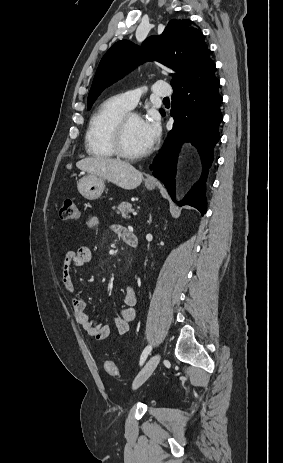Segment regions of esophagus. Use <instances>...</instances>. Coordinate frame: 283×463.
Segmentation results:
<instances>
[{
    "instance_id": "obj_1",
    "label": "esophagus",
    "mask_w": 283,
    "mask_h": 463,
    "mask_svg": "<svg viewBox=\"0 0 283 463\" xmlns=\"http://www.w3.org/2000/svg\"><path fill=\"white\" fill-rule=\"evenodd\" d=\"M147 180H149V181H152V178H151V177H149V178H147Z\"/></svg>"
}]
</instances>
